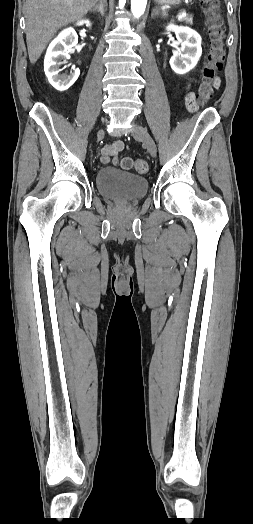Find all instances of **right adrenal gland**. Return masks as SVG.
I'll return each mask as SVG.
<instances>
[{
    "label": "right adrenal gland",
    "instance_id": "obj_1",
    "mask_svg": "<svg viewBox=\"0 0 253 524\" xmlns=\"http://www.w3.org/2000/svg\"><path fill=\"white\" fill-rule=\"evenodd\" d=\"M106 7H107L106 1L105 0H100V2L97 5H95L91 9V11L92 12H98L103 17L105 15V12H106Z\"/></svg>",
    "mask_w": 253,
    "mask_h": 524
}]
</instances>
